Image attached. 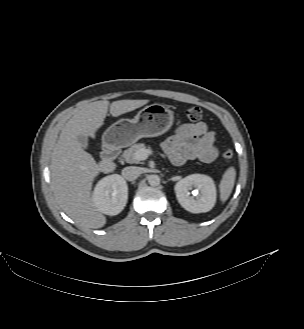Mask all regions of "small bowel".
Returning <instances> with one entry per match:
<instances>
[{
  "mask_svg": "<svg viewBox=\"0 0 304 329\" xmlns=\"http://www.w3.org/2000/svg\"><path fill=\"white\" fill-rule=\"evenodd\" d=\"M215 138V132L209 130L206 123H185L164 142L163 148L175 166L196 159L211 163L218 156V150L214 145Z\"/></svg>",
  "mask_w": 304,
  "mask_h": 329,
  "instance_id": "c3829d8e",
  "label": "small bowel"
}]
</instances>
